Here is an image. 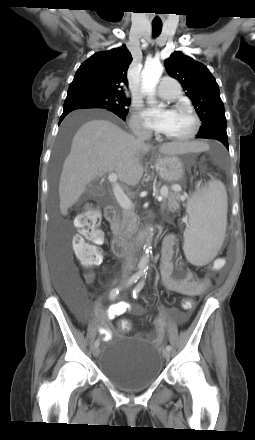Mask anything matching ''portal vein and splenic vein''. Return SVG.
<instances>
[{
	"mask_svg": "<svg viewBox=\"0 0 255 440\" xmlns=\"http://www.w3.org/2000/svg\"><path fill=\"white\" fill-rule=\"evenodd\" d=\"M117 179H118V177L115 173H110L108 175V180L112 184V187H113L114 196H115L117 202L119 203V205L123 209H125V210L132 209L133 203L129 199V197L124 193V191L122 190L120 185L117 183ZM175 189H178V188H175ZM161 195L164 196L165 193H162ZM161 199H162V197L158 198V200H161Z\"/></svg>",
	"mask_w": 255,
	"mask_h": 440,
	"instance_id": "portal-vein-and-splenic-vein-1",
	"label": "portal vein and splenic vein"
}]
</instances>
